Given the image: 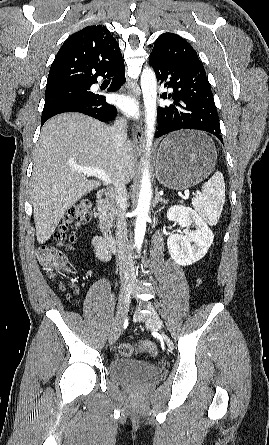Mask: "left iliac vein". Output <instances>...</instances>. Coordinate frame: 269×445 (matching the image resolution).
I'll use <instances>...</instances> for the list:
<instances>
[{
    "label": "left iliac vein",
    "instance_id": "obj_1",
    "mask_svg": "<svg viewBox=\"0 0 269 445\" xmlns=\"http://www.w3.org/2000/svg\"><path fill=\"white\" fill-rule=\"evenodd\" d=\"M146 307H147V309L150 311V314L147 315V317H146V323H147L148 325H153V326L156 327L158 330H161L162 323H161V321H160V319H159V317H158V314H157V312L155 311L153 305H152L150 302H148V303L146 304Z\"/></svg>",
    "mask_w": 269,
    "mask_h": 445
}]
</instances>
